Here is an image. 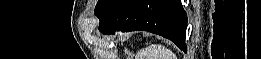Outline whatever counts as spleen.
I'll use <instances>...</instances> for the list:
<instances>
[{"label": "spleen", "instance_id": "spleen-1", "mask_svg": "<svg viewBox=\"0 0 261 59\" xmlns=\"http://www.w3.org/2000/svg\"><path fill=\"white\" fill-rule=\"evenodd\" d=\"M146 59H175V54L168 48L160 44H153L139 53ZM142 59V58H141Z\"/></svg>", "mask_w": 261, "mask_h": 59}]
</instances>
